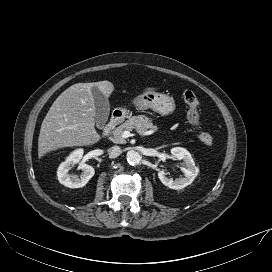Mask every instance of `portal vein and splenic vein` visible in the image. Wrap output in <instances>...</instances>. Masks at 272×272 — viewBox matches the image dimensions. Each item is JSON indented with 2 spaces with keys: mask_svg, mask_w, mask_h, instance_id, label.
I'll use <instances>...</instances> for the list:
<instances>
[{
  "mask_svg": "<svg viewBox=\"0 0 272 272\" xmlns=\"http://www.w3.org/2000/svg\"><path fill=\"white\" fill-rule=\"evenodd\" d=\"M123 138H128L131 136L130 132L129 131H124L123 134H122Z\"/></svg>",
  "mask_w": 272,
  "mask_h": 272,
  "instance_id": "portal-vein-and-splenic-vein-1",
  "label": "portal vein and splenic vein"
}]
</instances>
